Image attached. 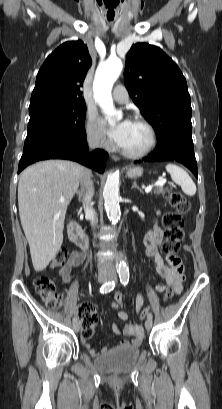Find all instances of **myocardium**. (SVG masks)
<instances>
[{
  "label": "myocardium",
  "instance_id": "1",
  "mask_svg": "<svg viewBox=\"0 0 222 409\" xmlns=\"http://www.w3.org/2000/svg\"><path fill=\"white\" fill-rule=\"evenodd\" d=\"M132 122L141 124L142 126H144L148 132H149V143L148 145L140 150V151H130V150H126L123 149L121 147H119V151L121 152V154H123L126 157H130V158H142L147 156L149 153L152 152V150L155 148L156 144H157V132L154 128V126L146 119L140 117V116H135L132 118L131 120Z\"/></svg>",
  "mask_w": 222,
  "mask_h": 409
}]
</instances>
